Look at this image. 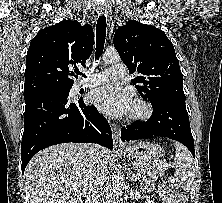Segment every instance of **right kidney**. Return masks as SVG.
<instances>
[{
	"mask_svg": "<svg viewBox=\"0 0 222 203\" xmlns=\"http://www.w3.org/2000/svg\"><path fill=\"white\" fill-rule=\"evenodd\" d=\"M70 203H83V201L81 200V198H78V199L71 200Z\"/></svg>",
	"mask_w": 222,
	"mask_h": 203,
	"instance_id": "1",
	"label": "right kidney"
}]
</instances>
